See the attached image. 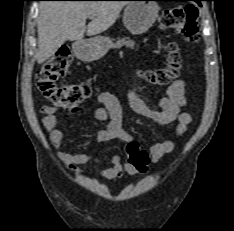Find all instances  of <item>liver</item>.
<instances>
[{
	"label": "liver",
	"mask_w": 234,
	"mask_h": 231,
	"mask_svg": "<svg viewBox=\"0 0 234 231\" xmlns=\"http://www.w3.org/2000/svg\"><path fill=\"white\" fill-rule=\"evenodd\" d=\"M126 1H43L37 21L39 64L49 59L65 41H80L86 33L97 35L117 20ZM96 15L86 26V19Z\"/></svg>",
	"instance_id": "liver-1"
}]
</instances>
